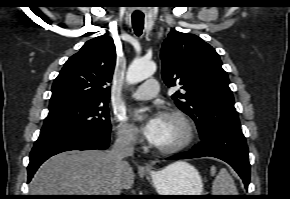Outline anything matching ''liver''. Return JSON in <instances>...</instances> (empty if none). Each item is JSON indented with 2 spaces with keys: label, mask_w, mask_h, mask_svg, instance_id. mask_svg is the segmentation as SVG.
I'll return each mask as SVG.
<instances>
[{
  "label": "liver",
  "mask_w": 290,
  "mask_h": 199,
  "mask_svg": "<svg viewBox=\"0 0 290 199\" xmlns=\"http://www.w3.org/2000/svg\"><path fill=\"white\" fill-rule=\"evenodd\" d=\"M134 177L128 164L120 188L129 190ZM115 179V164L109 151H68L41 165L30 183V192L31 195H110Z\"/></svg>",
  "instance_id": "6515ba94"
}]
</instances>
